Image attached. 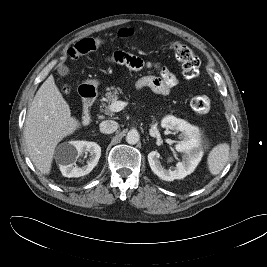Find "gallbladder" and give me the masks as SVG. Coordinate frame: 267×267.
<instances>
[{"instance_id":"obj_1","label":"gallbladder","mask_w":267,"mask_h":267,"mask_svg":"<svg viewBox=\"0 0 267 267\" xmlns=\"http://www.w3.org/2000/svg\"><path fill=\"white\" fill-rule=\"evenodd\" d=\"M57 71L61 77L67 76L69 74V68L66 65H59Z\"/></svg>"}]
</instances>
